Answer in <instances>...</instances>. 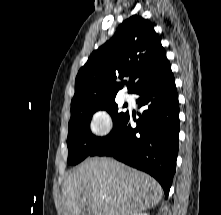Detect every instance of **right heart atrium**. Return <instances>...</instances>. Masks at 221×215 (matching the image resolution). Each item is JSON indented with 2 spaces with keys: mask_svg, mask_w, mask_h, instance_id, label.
<instances>
[{
  "mask_svg": "<svg viewBox=\"0 0 221 215\" xmlns=\"http://www.w3.org/2000/svg\"><path fill=\"white\" fill-rule=\"evenodd\" d=\"M91 133L96 137L108 135L113 128V121L109 112L105 109H99L93 112L89 121Z\"/></svg>",
  "mask_w": 221,
  "mask_h": 215,
  "instance_id": "d8ad5b80",
  "label": "right heart atrium"
}]
</instances>
